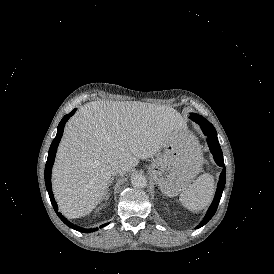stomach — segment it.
<instances>
[{
    "mask_svg": "<svg viewBox=\"0 0 274 274\" xmlns=\"http://www.w3.org/2000/svg\"><path fill=\"white\" fill-rule=\"evenodd\" d=\"M194 139L188 131L172 133L170 139L162 143L163 152L149 166L155 184L169 197L186 189L201 170Z\"/></svg>",
    "mask_w": 274,
    "mask_h": 274,
    "instance_id": "0dacf381",
    "label": "stomach"
}]
</instances>
